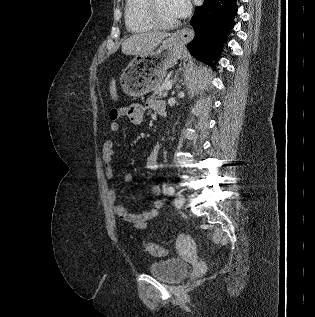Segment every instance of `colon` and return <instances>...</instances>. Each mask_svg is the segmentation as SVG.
<instances>
[{
    "label": "colon",
    "instance_id": "1",
    "mask_svg": "<svg viewBox=\"0 0 315 317\" xmlns=\"http://www.w3.org/2000/svg\"><path fill=\"white\" fill-rule=\"evenodd\" d=\"M110 94H111L113 99H115L117 97V89H116L115 83H113L110 86ZM144 248H145V251L152 256L162 257V256L167 255V250L164 247H162L158 244H155L151 241H145Z\"/></svg>",
    "mask_w": 315,
    "mask_h": 317
}]
</instances>
